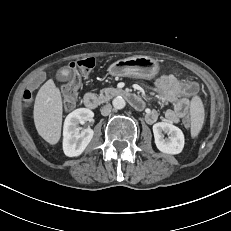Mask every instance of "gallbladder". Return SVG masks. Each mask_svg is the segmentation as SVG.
Instances as JSON below:
<instances>
[{"label": "gallbladder", "mask_w": 231, "mask_h": 231, "mask_svg": "<svg viewBox=\"0 0 231 231\" xmlns=\"http://www.w3.org/2000/svg\"><path fill=\"white\" fill-rule=\"evenodd\" d=\"M70 76V71L68 69H63L58 75L59 80H66Z\"/></svg>", "instance_id": "obj_1"}]
</instances>
